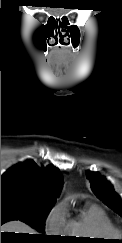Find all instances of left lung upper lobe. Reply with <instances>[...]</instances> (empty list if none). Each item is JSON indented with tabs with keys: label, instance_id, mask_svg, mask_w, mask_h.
Returning a JSON list of instances; mask_svg holds the SVG:
<instances>
[{
	"label": "left lung upper lobe",
	"instance_id": "left-lung-upper-lobe-1",
	"mask_svg": "<svg viewBox=\"0 0 122 243\" xmlns=\"http://www.w3.org/2000/svg\"><path fill=\"white\" fill-rule=\"evenodd\" d=\"M91 183V189L103 203L122 217V202L112 185L99 173L88 171L86 174Z\"/></svg>",
	"mask_w": 122,
	"mask_h": 243
}]
</instances>
